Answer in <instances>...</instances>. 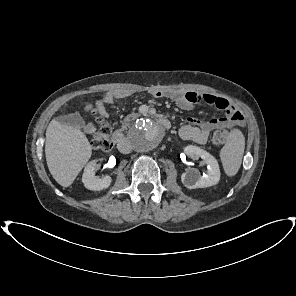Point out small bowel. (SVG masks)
Segmentation results:
<instances>
[{
    "instance_id": "1",
    "label": "small bowel",
    "mask_w": 296,
    "mask_h": 296,
    "mask_svg": "<svg viewBox=\"0 0 296 296\" xmlns=\"http://www.w3.org/2000/svg\"><path fill=\"white\" fill-rule=\"evenodd\" d=\"M131 95L128 90H112L107 92L102 98L95 103L98 112L102 116L107 115L108 104L124 99ZM156 97H163L173 101L179 108L191 110L200 103H205L218 108L224 112V116L213 118L208 121H202L195 118H189L188 122L179 130L180 137L185 141L204 144L207 142L210 133L218 128H227L231 125H242L244 123L243 114L227 99L217 97L211 94L200 93L196 91H156ZM84 131L87 134L94 132L92 124H86Z\"/></svg>"
}]
</instances>
